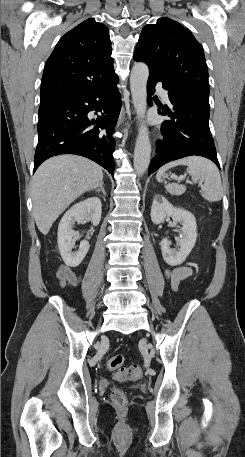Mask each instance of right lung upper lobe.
Segmentation results:
<instances>
[{
	"instance_id": "1",
	"label": "right lung upper lobe",
	"mask_w": 245,
	"mask_h": 457,
	"mask_svg": "<svg viewBox=\"0 0 245 457\" xmlns=\"http://www.w3.org/2000/svg\"><path fill=\"white\" fill-rule=\"evenodd\" d=\"M111 52L109 30L94 18L67 32L45 64L41 103L116 77Z\"/></svg>"
}]
</instances>
